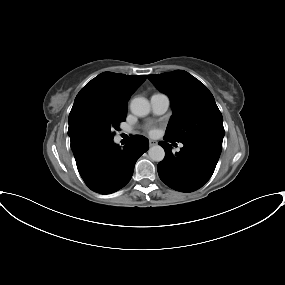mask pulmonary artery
I'll return each mask as SVG.
<instances>
[{
    "label": "pulmonary artery",
    "mask_w": 285,
    "mask_h": 285,
    "mask_svg": "<svg viewBox=\"0 0 285 285\" xmlns=\"http://www.w3.org/2000/svg\"><path fill=\"white\" fill-rule=\"evenodd\" d=\"M151 108L154 114H164L170 105L169 97L164 93H155L150 98Z\"/></svg>",
    "instance_id": "1"
}]
</instances>
